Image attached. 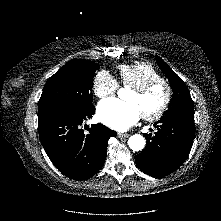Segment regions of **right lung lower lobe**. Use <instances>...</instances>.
Returning a JSON list of instances; mask_svg holds the SVG:
<instances>
[{
	"instance_id": "1",
	"label": "right lung lower lobe",
	"mask_w": 221,
	"mask_h": 221,
	"mask_svg": "<svg viewBox=\"0 0 221 221\" xmlns=\"http://www.w3.org/2000/svg\"><path fill=\"white\" fill-rule=\"evenodd\" d=\"M95 107L63 108L38 116L41 143L55 167L65 176L83 180L104 165L107 143L117 133L102 124H93L86 134L82 123Z\"/></svg>"
}]
</instances>
